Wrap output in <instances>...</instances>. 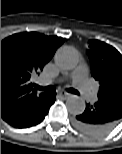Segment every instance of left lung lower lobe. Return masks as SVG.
<instances>
[{"mask_svg": "<svg viewBox=\"0 0 122 154\" xmlns=\"http://www.w3.org/2000/svg\"><path fill=\"white\" fill-rule=\"evenodd\" d=\"M121 119L122 95H117L99 98L94 105L87 104L73 124L85 134L98 136L112 130Z\"/></svg>", "mask_w": 122, "mask_h": 154, "instance_id": "0a47b994", "label": "left lung lower lobe"}]
</instances>
